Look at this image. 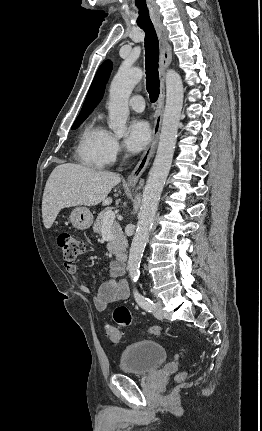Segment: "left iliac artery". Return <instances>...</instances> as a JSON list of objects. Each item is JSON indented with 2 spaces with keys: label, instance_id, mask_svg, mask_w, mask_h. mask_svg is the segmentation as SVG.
<instances>
[{
  "label": "left iliac artery",
  "instance_id": "44dca946",
  "mask_svg": "<svg viewBox=\"0 0 262 431\" xmlns=\"http://www.w3.org/2000/svg\"><path fill=\"white\" fill-rule=\"evenodd\" d=\"M134 298L136 300V302L139 304V306H141L143 309H145L148 312H151L152 309L154 308V303L152 300H150L149 298L143 296L142 294H140L136 288H134Z\"/></svg>",
  "mask_w": 262,
  "mask_h": 431
}]
</instances>
